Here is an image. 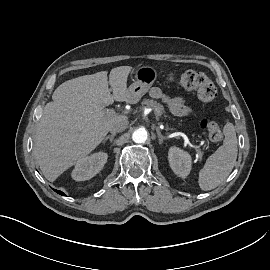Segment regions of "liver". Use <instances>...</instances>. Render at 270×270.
<instances>
[{"mask_svg": "<svg viewBox=\"0 0 270 270\" xmlns=\"http://www.w3.org/2000/svg\"><path fill=\"white\" fill-rule=\"evenodd\" d=\"M131 69L119 66L110 71L109 78L107 71H101L68 80L56 88L34 136L33 155L46 179L55 181L91 153L114 122L127 120L123 113H105V107L114 101H128Z\"/></svg>", "mask_w": 270, "mask_h": 270, "instance_id": "6515ba94", "label": "liver"}]
</instances>
